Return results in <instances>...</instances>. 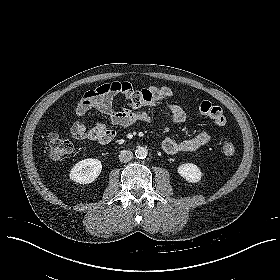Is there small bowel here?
<instances>
[{
  "label": "small bowel",
  "instance_id": "obj_1",
  "mask_svg": "<svg viewBox=\"0 0 280 280\" xmlns=\"http://www.w3.org/2000/svg\"><path fill=\"white\" fill-rule=\"evenodd\" d=\"M112 88H117L119 91H114ZM130 88H132L131 84L123 82L105 84L94 90L86 92L74 110L76 119L72 126V133L74 136L79 139H88L104 143V138L99 134V132L102 129H105L114 137L115 132L107 129L103 124L97 123L95 126L89 128L82 121L83 117L92 107H96L103 115L107 116L111 123L128 125L136 120V116L132 112L133 109L151 105L157 100L170 97L172 95V90L168 86H150L138 91V96L127 100L125 106L117 108L114 103L115 97L121 95L123 91ZM171 111L175 122L182 123L186 119V113L182 107L172 105ZM209 140V132L201 131L196 136L181 142L172 138H165L160 142V144L161 148L165 152L175 154L179 152L195 151L206 145Z\"/></svg>",
  "mask_w": 280,
  "mask_h": 280
}]
</instances>
